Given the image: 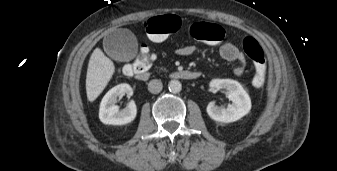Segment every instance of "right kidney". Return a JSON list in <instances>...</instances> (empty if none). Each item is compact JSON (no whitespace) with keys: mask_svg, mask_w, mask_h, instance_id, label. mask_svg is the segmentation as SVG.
I'll list each match as a JSON object with an SVG mask.
<instances>
[{"mask_svg":"<svg viewBox=\"0 0 337 171\" xmlns=\"http://www.w3.org/2000/svg\"><path fill=\"white\" fill-rule=\"evenodd\" d=\"M125 94L131 96L132 88L128 84H119L110 89L103 97L100 103L99 119L102 123L108 125H124L132 122L137 114V108L133 101L120 110L118 105H115L118 97Z\"/></svg>","mask_w":337,"mask_h":171,"instance_id":"right-kidney-1","label":"right kidney"}]
</instances>
